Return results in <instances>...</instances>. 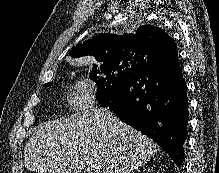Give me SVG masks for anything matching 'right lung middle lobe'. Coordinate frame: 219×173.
<instances>
[{
  "label": "right lung middle lobe",
  "mask_w": 219,
  "mask_h": 173,
  "mask_svg": "<svg viewBox=\"0 0 219 173\" xmlns=\"http://www.w3.org/2000/svg\"><path fill=\"white\" fill-rule=\"evenodd\" d=\"M136 68L137 65L131 63L108 64L101 66L97 73L90 76L97 85V101L101 106L104 107L110 101L116 88L133 74Z\"/></svg>",
  "instance_id": "obj_1"
}]
</instances>
